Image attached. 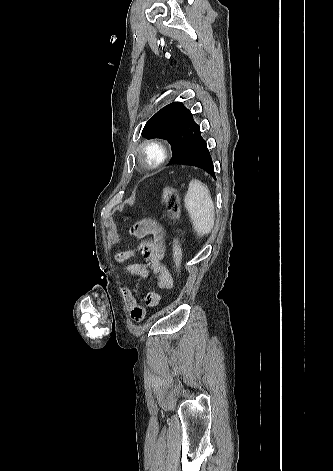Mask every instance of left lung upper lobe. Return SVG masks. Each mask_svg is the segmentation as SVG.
Masks as SVG:
<instances>
[{"mask_svg":"<svg viewBox=\"0 0 333 471\" xmlns=\"http://www.w3.org/2000/svg\"><path fill=\"white\" fill-rule=\"evenodd\" d=\"M199 125L194 121L189 109L181 102H173L153 115L142 130L147 139L167 140L174 157L196 135Z\"/></svg>","mask_w":333,"mask_h":471,"instance_id":"left-lung-upper-lobe-1","label":"left lung upper lobe"}]
</instances>
